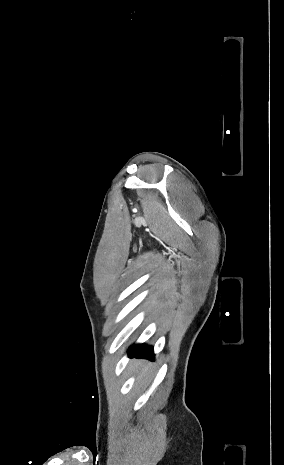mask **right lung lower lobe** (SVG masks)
I'll list each match as a JSON object with an SVG mask.
<instances>
[{"mask_svg":"<svg viewBox=\"0 0 284 465\" xmlns=\"http://www.w3.org/2000/svg\"><path fill=\"white\" fill-rule=\"evenodd\" d=\"M131 357H143L154 360V352L151 346L145 344L135 345L129 349Z\"/></svg>","mask_w":284,"mask_h":465,"instance_id":"right-lung-lower-lobe-1","label":"right lung lower lobe"}]
</instances>
